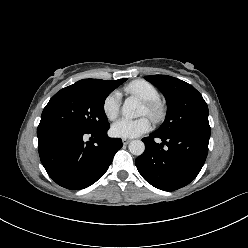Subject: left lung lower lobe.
Here are the masks:
<instances>
[{
  "label": "left lung lower lobe",
  "instance_id": "obj_1",
  "mask_svg": "<svg viewBox=\"0 0 248 248\" xmlns=\"http://www.w3.org/2000/svg\"><path fill=\"white\" fill-rule=\"evenodd\" d=\"M210 132V126H198L169 136L151 133L142 139L145 151L135 161L139 173L152 186L164 191L186 186L205 163ZM156 137L162 140L161 144L154 141ZM164 145L168 148L163 149Z\"/></svg>",
  "mask_w": 248,
  "mask_h": 248
}]
</instances>
